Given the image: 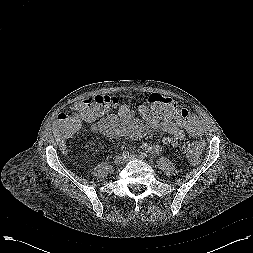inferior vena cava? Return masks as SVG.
<instances>
[{
	"instance_id": "obj_1",
	"label": "inferior vena cava",
	"mask_w": 253,
	"mask_h": 253,
	"mask_svg": "<svg viewBox=\"0 0 253 253\" xmlns=\"http://www.w3.org/2000/svg\"><path fill=\"white\" fill-rule=\"evenodd\" d=\"M124 160H125V159H124L123 157H118V158H117V161H118V162H123Z\"/></svg>"
}]
</instances>
